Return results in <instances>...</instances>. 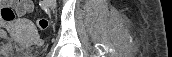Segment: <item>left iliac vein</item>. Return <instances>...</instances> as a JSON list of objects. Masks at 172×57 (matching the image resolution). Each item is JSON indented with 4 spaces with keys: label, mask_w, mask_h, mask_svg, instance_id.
Wrapping results in <instances>:
<instances>
[{
    "label": "left iliac vein",
    "mask_w": 172,
    "mask_h": 57,
    "mask_svg": "<svg viewBox=\"0 0 172 57\" xmlns=\"http://www.w3.org/2000/svg\"><path fill=\"white\" fill-rule=\"evenodd\" d=\"M48 7H50L52 10L56 7V1L55 0H49L47 1Z\"/></svg>",
    "instance_id": "left-iliac-vein-1"
}]
</instances>
